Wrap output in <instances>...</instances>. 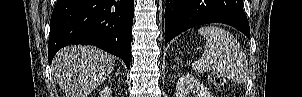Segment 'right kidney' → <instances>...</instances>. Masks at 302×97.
Returning a JSON list of instances; mask_svg holds the SVG:
<instances>
[{
  "mask_svg": "<svg viewBox=\"0 0 302 97\" xmlns=\"http://www.w3.org/2000/svg\"><path fill=\"white\" fill-rule=\"evenodd\" d=\"M111 92V89H109V87H104V89L101 91L100 96L105 97V96H109Z\"/></svg>",
  "mask_w": 302,
  "mask_h": 97,
  "instance_id": "ca27d5eb",
  "label": "right kidney"
}]
</instances>
